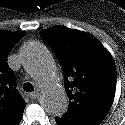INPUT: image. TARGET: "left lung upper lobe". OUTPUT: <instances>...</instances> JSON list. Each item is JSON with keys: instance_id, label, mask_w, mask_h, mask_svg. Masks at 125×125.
I'll list each match as a JSON object with an SVG mask.
<instances>
[{"instance_id": "5c2ea615", "label": "left lung upper lobe", "mask_w": 125, "mask_h": 125, "mask_svg": "<svg viewBox=\"0 0 125 125\" xmlns=\"http://www.w3.org/2000/svg\"><path fill=\"white\" fill-rule=\"evenodd\" d=\"M40 34L62 65L69 108L61 118L100 125L115 96L117 77L112 56L85 32L55 26Z\"/></svg>"}]
</instances>
